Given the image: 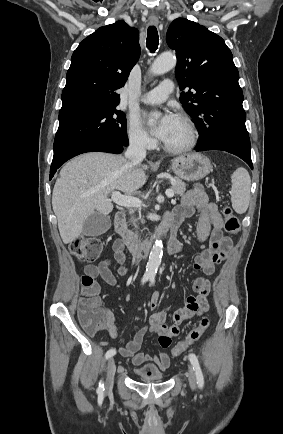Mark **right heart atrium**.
Segmentation results:
<instances>
[{"label":"right heart atrium","instance_id":"d8ad5b80","mask_svg":"<svg viewBox=\"0 0 283 434\" xmlns=\"http://www.w3.org/2000/svg\"><path fill=\"white\" fill-rule=\"evenodd\" d=\"M127 135L129 143L138 149L148 150L154 146V140L142 128L136 118H130L127 122Z\"/></svg>","mask_w":283,"mask_h":434}]
</instances>
